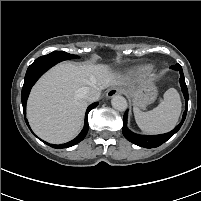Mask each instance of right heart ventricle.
Masks as SVG:
<instances>
[{"instance_id": "e07e8e85", "label": "right heart ventricle", "mask_w": 201, "mask_h": 201, "mask_svg": "<svg viewBox=\"0 0 201 201\" xmlns=\"http://www.w3.org/2000/svg\"><path fill=\"white\" fill-rule=\"evenodd\" d=\"M144 69L147 70V69H149V67H145Z\"/></svg>"}]
</instances>
